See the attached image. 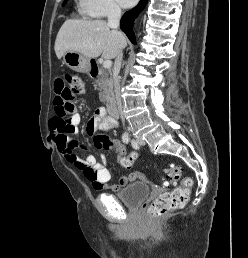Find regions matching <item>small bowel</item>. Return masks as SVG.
<instances>
[{"mask_svg": "<svg viewBox=\"0 0 248 258\" xmlns=\"http://www.w3.org/2000/svg\"><path fill=\"white\" fill-rule=\"evenodd\" d=\"M54 92L56 94L54 99L55 114L56 108L60 100L70 95V92L66 89L64 81L62 79H56L54 81ZM52 121V119H51ZM81 118L78 113L73 114L71 117L72 130L70 132H63L51 123V138L56 143L58 151L63 156V158L70 164L74 165L80 169L84 175L85 170L91 169L94 171L95 176H90L87 178L92 182L96 189H111L117 191L127 185L128 183L136 180L139 177L137 172H132L128 175L121 177L118 184L110 185L109 181L111 179V173L107 169L105 164V157L102 156V161L97 162L94 156L86 154L84 157H80L76 154V149H78L80 144L70 138L69 133H74L78 130ZM116 124L113 120L107 118L105 110L103 108H98L95 111V115L87 122V133L92 137L97 130H109ZM83 148V147H82Z\"/></svg>", "mask_w": 248, "mask_h": 258, "instance_id": "obj_1", "label": "small bowel"}]
</instances>
